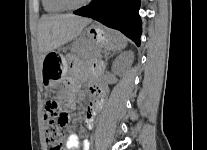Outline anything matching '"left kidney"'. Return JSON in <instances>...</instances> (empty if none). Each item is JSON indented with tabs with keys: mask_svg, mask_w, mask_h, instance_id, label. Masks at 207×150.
I'll use <instances>...</instances> for the list:
<instances>
[{
	"mask_svg": "<svg viewBox=\"0 0 207 150\" xmlns=\"http://www.w3.org/2000/svg\"><path fill=\"white\" fill-rule=\"evenodd\" d=\"M133 59V53L132 52H125L122 55H120L118 58L115 59L112 65V71L115 73L119 72V68L122 64H130Z\"/></svg>",
	"mask_w": 207,
	"mask_h": 150,
	"instance_id": "5707ae66",
	"label": "left kidney"
}]
</instances>
